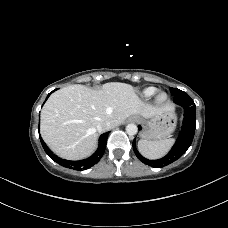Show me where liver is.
<instances>
[{
	"instance_id": "1",
	"label": "liver",
	"mask_w": 228,
	"mask_h": 228,
	"mask_svg": "<svg viewBox=\"0 0 228 228\" xmlns=\"http://www.w3.org/2000/svg\"><path fill=\"white\" fill-rule=\"evenodd\" d=\"M170 108L144 103L130 84L110 82L99 90L75 84L49 97L41 111L40 132L57 155L79 160L95 151L100 123L115 127L131 115L149 119Z\"/></svg>"
}]
</instances>
